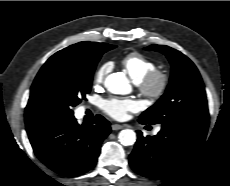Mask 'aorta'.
<instances>
[{"label": "aorta", "mask_w": 230, "mask_h": 186, "mask_svg": "<svg viewBox=\"0 0 230 186\" xmlns=\"http://www.w3.org/2000/svg\"><path fill=\"white\" fill-rule=\"evenodd\" d=\"M105 87L114 94H126L129 89V81L125 75L121 73H112L105 80ZM118 139L124 146L133 145L136 142V133L131 129L122 130Z\"/></svg>", "instance_id": "762f6f07"}]
</instances>
